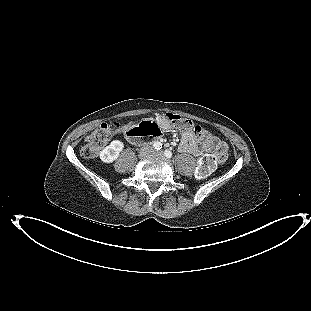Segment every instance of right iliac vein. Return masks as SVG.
<instances>
[{"instance_id":"obj_1","label":"right iliac vein","mask_w":311,"mask_h":311,"mask_svg":"<svg viewBox=\"0 0 311 311\" xmlns=\"http://www.w3.org/2000/svg\"><path fill=\"white\" fill-rule=\"evenodd\" d=\"M150 153H151V148L146 146V147H143L140 149L138 156L139 157H145Z\"/></svg>"}]
</instances>
